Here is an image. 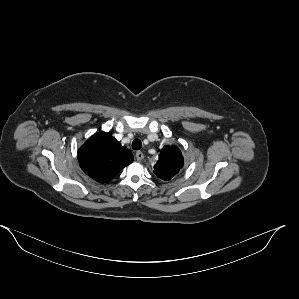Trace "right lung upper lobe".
Here are the masks:
<instances>
[{"mask_svg":"<svg viewBox=\"0 0 299 299\" xmlns=\"http://www.w3.org/2000/svg\"><path fill=\"white\" fill-rule=\"evenodd\" d=\"M78 161L88 176L97 182L107 183L132 163L133 155L111 133L99 132L79 149Z\"/></svg>","mask_w":299,"mask_h":299,"instance_id":"cb5924a9","label":"right lung upper lobe"}]
</instances>
